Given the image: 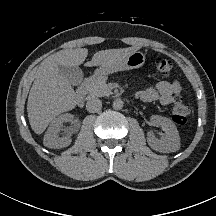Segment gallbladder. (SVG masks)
Returning a JSON list of instances; mask_svg holds the SVG:
<instances>
[{
	"label": "gallbladder",
	"mask_w": 216,
	"mask_h": 216,
	"mask_svg": "<svg viewBox=\"0 0 216 216\" xmlns=\"http://www.w3.org/2000/svg\"><path fill=\"white\" fill-rule=\"evenodd\" d=\"M59 74L72 85H79L83 80V72L78 66L60 65Z\"/></svg>",
	"instance_id": "1"
}]
</instances>
